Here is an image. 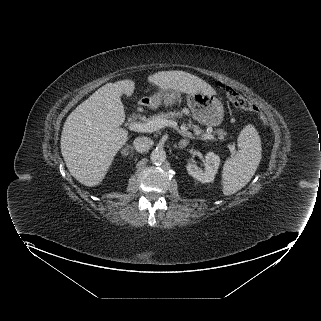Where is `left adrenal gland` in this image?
Listing matches in <instances>:
<instances>
[{
    "instance_id": "obj_1",
    "label": "left adrenal gland",
    "mask_w": 321,
    "mask_h": 321,
    "mask_svg": "<svg viewBox=\"0 0 321 321\" xmlns=\"http://www.w3.org/2000/svg\"><path fill=\"white\" fill-rule=\"evenodd\" d=\"M188 143H189V140H187V139H182V140H180V142H179V148H184V147H186L187 145H188Z\"/></svg>"
}]
</instances>
